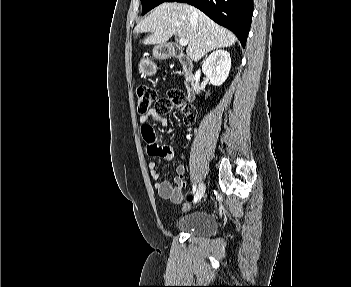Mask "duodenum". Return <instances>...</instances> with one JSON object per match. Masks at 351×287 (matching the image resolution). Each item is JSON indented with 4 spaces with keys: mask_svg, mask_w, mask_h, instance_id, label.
<instances>
[{
    "mask_svg": "<svg viewBox=\"0 0 351 287\" xmlns=\"http://www.w3.org/2000/svg\"><path fill=\"white\" fill-rule=\"evenodd\" d=\"M157 55L162 58L178 59L180 61L184 71L185 86L188 90V98L189 101H193V86L191 82L192 62L190 58L174 44H166L159 47L157 50Z\"/></svg>",
    "mask_w": 351,
    "mask_h": 287,
    "instance_id": "410a0bca",
    "label": "duodenum"
}]
</instances>
